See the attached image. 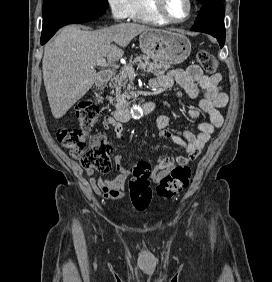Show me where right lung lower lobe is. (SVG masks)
<instances>
[{"mask_svg": "<svg viewBox=\"0 0 272 282\" xmlns=\"http://www.w3.org/2000/svg\"><path fill=\"white\" fill-rule=\"evenodd\" d=\"M101 8H76L58 11L44 17L41 44H45L56 31L68 24L94 20L105 13Z\"/></svg>", "mask_w": 272, "mask_h": 282, "instance_id": "obj_1", "label": "right lung lower lobe"}]
</instances>
